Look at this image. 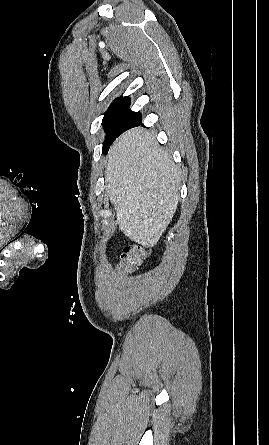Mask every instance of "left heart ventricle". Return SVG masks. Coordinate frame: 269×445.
Listing matches in <instances>:
<instances>
[{
    "mask_svg": "<svg viewBox=\"0 0 269 445\" xmlns=\"http://www.w3.org/2000/svg\"><path fill=\"white\" fill-rule=\"evenodd\" d=\"M2 238L1 233H0V239Z\"/></svg>",
    "mask_w": 269,
    "mask_h": 445,
    "instance_id": "b2bd125f",
    "label": "left heart ventricle"
}]
</instances>
